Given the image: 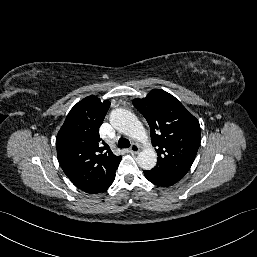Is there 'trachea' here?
<instances>
[{
	"instance_id": "3493384b",
	"label": "trachea",
	"mask_w": 257,
	"mask_h": 257,
	"mask_svg": "<svg viewBox=\"0 0 257 257\" xmlns=\"http://www.w3.org/2000/svg\"><path fill=\"white\" fill-rule=\"evenodd\" d=\"M130 141L126 138L121 137L118 141V147L119 148H129L130 147Z\"/></svg>"
}]
</instances>
